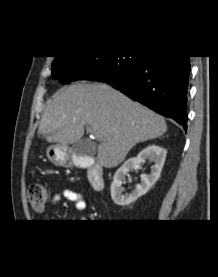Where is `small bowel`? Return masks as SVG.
Masks as SVG:
<instances>
[{
	"label": "small bowel",
	"instance_id": "small-bowel-1",
	"mask_svg": "<svg viewBox=\"0 0 218 277\" xmlns=\"http://www.w3.org/2000/svg\"><path fill=\"white\" fill-rule=\"evenodd\" d=\"M63 200L71 201L74 203L75 208L78 211H83L87 206V201L85 196L72 189H64L60 193L53 195L51 199V204L53 206L59 205Z\"/></svg>",
	"mask_w": 218,
	"mask_h": 277
}]
</instances>
